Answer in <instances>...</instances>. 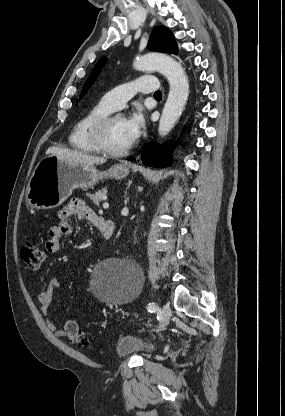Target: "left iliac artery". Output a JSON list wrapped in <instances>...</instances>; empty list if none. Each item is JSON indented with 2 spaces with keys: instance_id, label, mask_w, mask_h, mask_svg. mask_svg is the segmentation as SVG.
Listing matches in <instances>:
<instances>
[{
  "instance_id": "1",
  "label": "left iliac artery",
  "mask_w": 285,
  "mask_h": 416,
  "mask_svg": "<svg viewBox=\"0 0 285 416\" xmlns=\"http://www.w3.org/2000/svg\"><path fill=\"white\" fill-rule=\"evenodd\" d=\"M147 309H148V311L149 312H155V311H157L158 310V306H157V304L156 303H154V302H151V303H149L148 305H147Z\"/></svg>"
}]
</instances>
